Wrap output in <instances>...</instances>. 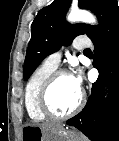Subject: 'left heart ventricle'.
Masks as SVG:
<instances>
[{"label": "left heart ventricle", "mask_w": 119, "mask_h": 141, "mask_svg": "<svg viewBox=\"0 0 119 141\" xmlns=\"http://www.w3.org/2000/svg\"><path fill=\"white\" fill-rule=\"evenodd\" d=\"M80 97V91L75 85L72 76L62 75L53 85L49 103L51 108L58 113H65L75 107Z\"/></svg>", "instance_id": "obj_1"}]
</instances>
